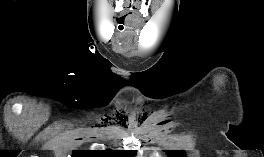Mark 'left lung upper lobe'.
Masks as SVG:
<instances>
[{"label":"left lung upper lobe","instance_id":"1","mask_svg":"<svg viewBox=\"0 0 264 157\" xmlns=\"http://www.w3.org/2000/svg\"><path fill=\"white\" fill-rule=\"evenodd\" d=\"M168 157H186L183 150H165Z\"/></svg>","mask_w":264,"mask_h":157}]
</instances>
